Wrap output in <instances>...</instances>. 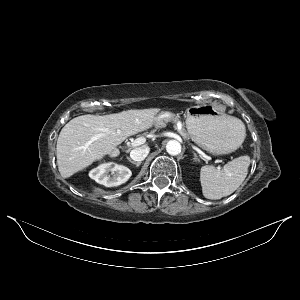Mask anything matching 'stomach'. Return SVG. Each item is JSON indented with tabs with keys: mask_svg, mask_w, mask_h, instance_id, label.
Here are the masks:
<instances>
[{
	"mask_svg": "<svg viewBox=\"0 0 300 300\" xmlns=\"http://www.w3.org/2000/svg\"><path fill=\"white\" fill-rule=\"evenodd\" d=\"M186 126L192 140L212 155L237 150L245 138L234 119L212 105L191 106L187 111Z\"/></svg>",
	"mask_w": 300,
	"mask_h": 300,
	"instance_id": "0dacf381",
	"label": "stomach"
}]
</instances>
